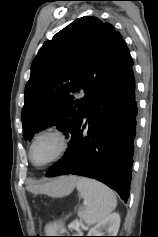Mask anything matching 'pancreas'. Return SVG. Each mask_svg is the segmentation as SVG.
Returning <instances> with one entry per match:
<instances>
[{
    "mask_svg": "<svg viewBox=\"0 0 158 237\" xmlns=\"http://www.w3.org/2000/svg\"><path fill=\"white\" fill-rule=\"evenodd\" d=\"M76 229L78 230V232H81V230L79 229L78 225H75Z\"/></svg>",
    "mask_w": 158,
    "mask_h": 237,
    "instance_id": "pancreas-1",
    "label": "pancreas"
}]
</instances>
